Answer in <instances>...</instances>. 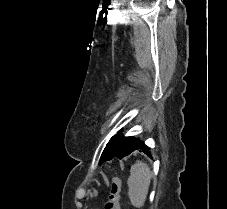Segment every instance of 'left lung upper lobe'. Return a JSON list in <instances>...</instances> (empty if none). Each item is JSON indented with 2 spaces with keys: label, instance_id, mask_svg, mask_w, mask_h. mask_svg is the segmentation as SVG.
<instances>
[{
  "label": "left lung upper lobe",
  "instance_id": "obj_1",
  "mask_svg": "<svg viewBox=\"0 0 227 209\" xmlns=\"http://www.w3.org/2000/svg\"><path fill=\"white\" fill-rule=\"evenodd\" d=\"M135 139L136 138L133 136L124 137L119 131L118 135L112 137L107 144V147L101 156L100 163L111 160L114 157L119 159L122 158V156L131 148Z\"/></svg>",
  "mask_w": 227,
  "mask_h": 209
}]
</instances>
